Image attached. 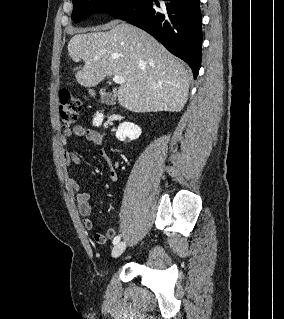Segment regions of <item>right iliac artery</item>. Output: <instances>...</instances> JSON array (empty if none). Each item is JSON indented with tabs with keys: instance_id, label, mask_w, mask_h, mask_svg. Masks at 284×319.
I'll return each instance as SVG.
<instances>
[{
	"instance_id": "1",
	"label": "right iliac artery",
	"mask_w": 284,
	"mask_h": 319,
	"mask_svg": "<svg viewBox=\"0 0 284 319\" xmlns=\"http://www.w3.org/2000/svg\"><path fill=\"white\" fill-rule=\"evenodd\" d=\"M120 235H117L114 239H113V244L116 245L119 241H120Z\"/></svg>"
}]
</instances>
